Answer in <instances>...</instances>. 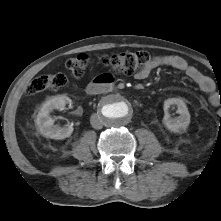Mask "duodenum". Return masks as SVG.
Masks as SVG:
<instances>
[{
  "label": "duodenum",
  "mask_w": 221,
  "mask_h": 221,
  "mask_svg": "<svg viewBox=\"0 0 221 221\" xmlns=\"http://www.w3.org/2000/svg\"><path fill=\"white\" fill-rule=\"evenodd\" d=\"M114 89L115 87L111 80L106 77H98L87 86V93L89 95H97L113 91Z\"/></svg>",
  "instance_id": "410a0bca"
}]
</instances>
